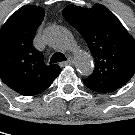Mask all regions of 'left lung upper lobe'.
<instances>
[{
  "instance_id": "obj_1",
  "label": "left lung upper lobe",
  "mask_w": 135,
  "mask_h": 135,
  "mask_svg": "<svg viewBox=\"0 0 135 135\" xmlns=\"http://www.w3.org/2000/svg\"><path fill=\"white\" fill-rule=\"evenodd\" d=\"M62 14L86 40L95 61L84 84L102 92L124 86L135 73V39L118 18L101 4L90 9L70 5Z\"/></svg>"
}]
</instances>
